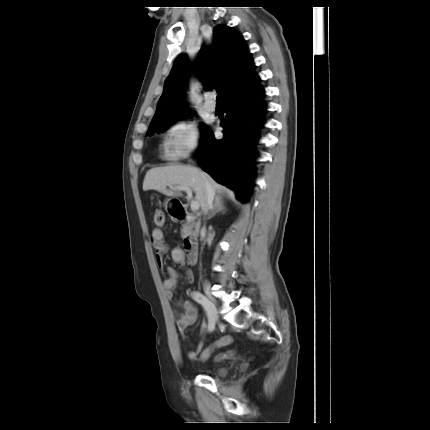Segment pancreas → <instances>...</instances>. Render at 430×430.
<instances>
[{
    "label": "pancreas",
    "instance_id": "pancreas-1",
    "mask_svg": "<svg viewBox=\"0 0 430 430\" xmlns=\"http://www.w3.org/2000/svg\"><path fill=\"white\" fill-rule=\"evenodd\" d=\"M199 225V223L197 224V226ZM194 226V223H193V219L192 218H190L189 220H188V223L186 224V225H183V228L181 229V234H182V237H185L186 236V234L189 232V230H191L192 229V227ZM195 234H197V232H195Z\"/></svg>",
    "mask_w": 430,
    "mask_h": 430
}]
</instances>
